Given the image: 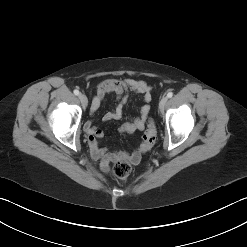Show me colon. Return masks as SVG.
<instances>
[{"instance_id":"1","label":"colon","mask_w":247,"mask_h":247,"mask_svg":"<svg viewBox=\"0 0 247 247\" xmlns=\"http://www.w3.org/2000/svg\"><path fill=\"white\" fill-rule=\"evenodd\" d=\"M156 137V125L153 120H149L143 135V141L140 146V152L144 153L150 150L156 141ZM112 171L116 177L120 179H125L131 171V164L126 160H120L114 164Z\"/></svg>"}]
</instances>
